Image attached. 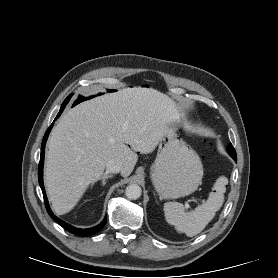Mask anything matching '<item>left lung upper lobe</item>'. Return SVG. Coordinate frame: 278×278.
Returning <instances> with one entry per match:
<instances>
[{
	"instance_id": "1",
	"label": "left lung upper lobe",
	"mask_w": 278,
	"mask_h": 278,
	"mask_svg": "<svg viewBox=\"0 0 278 278\" xmlns=\"http://www.w3.org/2000/svg\"><path fill=\"white\" fill-rule=\"evenodd\" d=\"M227 151L229 153V155L234 159V158H237V155H236V151L235 149L233 148L232 144L230 143L227 147Z\"/></svg>"
}]
</instances>
